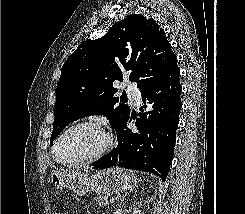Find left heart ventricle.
Wrapping results in <instances>:
<instances>
[{
    "label": "left heart ventricle",
    "instance_id": "obj_1",
    "mask_svg": "<svg viewBox=\"0 0 245 214\" xmlns=\"http://www.w3.org/2000/svg\"><path fill=\"white\" fill-rule=\"evenodd\" d=\"M103 143L104 138L96 129L78 127L61 139L57 147V156L61 160L85 158L97 152Z\"/></svg>",
    "mask_w": 245,
    "mask_h": 214
}]
</instances>
